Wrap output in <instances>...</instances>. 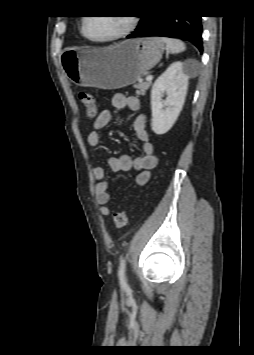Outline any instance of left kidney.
Wrapping results in <instances>:
<instances>
[{"label": "left kidney", "mask_w": 254, "mask_h": 355, "mask_svg": "<svg viewBox=\"0 0 254 355\" xmlns=\"http://www.w3.org/2000/svg\"><path fill=\"white\" fill-rule=\"evenodd\" d=\"M189 76L183 62L172 63L155 81L151 90V127L158 135L165 134L174 125L184 105ZM164 93L167 98L162 99Z\"/></svg>", "instance_id": "obj_1"}]
</instances>
